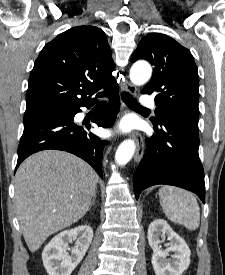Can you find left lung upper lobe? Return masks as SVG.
Returning a JSON list of instances; mask_svg holds the SVG:
<instances>
[{
    "label": "left lung upper lobe",
    "mask_w": 225,
    "mask_h": 275,
    "mask_svg": "<svg viewBox=\"0 0 225 275\" xmlns=\"http://www.w3.org/2000/svg\"><path fill=\"white\" fill-rule=\"evenodd\" d=\"M138 59L154 66L153 76L142 91L155 95L153 125L169 118L198 127L199 76L190 51L166 35L150 33L131 56L132 62Z\"/></svg>",
    "instance_id": "left-lung-upper-lobe-1"
}]
</instances>
